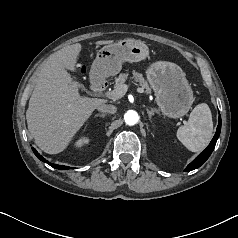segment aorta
Here are the masks:
<instances>
[{
    "instance_id": "1",
    "label": "aorta",
    "mask_w": 238,
    "mask_h": 238,
    "mask_svg": "<svg viewBox=\"0 0 238 238\" xmlns=\"http://www.w3.org/2000/svg\"><path fill=\"white\" fill-rule=\"evenodd\" d=\"M124 120L129 126L135 125L138 122V113L134 110H128L124 115Z\"/></svg>"
}]
</instances>
